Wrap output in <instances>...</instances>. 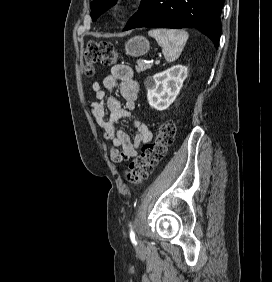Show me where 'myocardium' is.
<instances>
[{"label": "myocardium", "instance_id": "1", "mask_svg": "<svg viewBox=\"0 0 272 282\" xmlns=\"http://www.w3.org/2000/svg\"><path fill=\"white\" fill-rule=\"evenodd\" d=\"M134 9L133 0H123L119 5V11L126 15L129 14Z\"/></svg>", "mask_w": 272, "mask_h": 282}]
</instances>
